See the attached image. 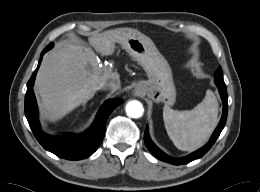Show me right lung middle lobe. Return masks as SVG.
Listing matches in <instances>:
<instances>
[{
    "label": "right lung middle lobe",
    "instance_id": "dd1d6c3e",
    "mask_svg": "<svg viewBox=\"0 0 260 192\" xmlns=\"http://www.w3.org/2000/svg\"><path fill=\"white\" fill-rule=\"evenodd\" d=\"M49 47H50V49L53 47V43H50L49 45H48ZM49 49V50H50Z\"/></svg>",
    "mask_w": 260,
    "mask_h": 192
}]
</instances>
